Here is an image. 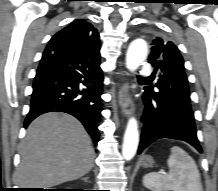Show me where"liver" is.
I'll return each instance as SVG.
<instances>
[{
    "label": "liver",
    "mask_w": 218,
    "mask_h": 191,
    "mask_svg": "<svg viewBox=\"0 0 218 191\" xmlns=\"http://www.w3.org/2000/svg\"><path fill=\"white\" fill-rule=\"evenodd\" d=\"M17 181L22 188H48L76 180L94 166V149L73 116L51 112L28 127L20 147Z\"/></svg>",
    "instance_id": "obj_1"
}]
</instances>
